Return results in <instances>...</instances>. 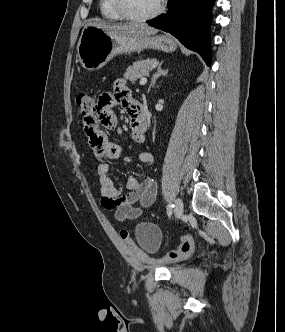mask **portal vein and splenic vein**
Returning a JSON list of instances; mask_svg holds the SVG:
<instances>
[{"instance_id":"obj_1","label":"portal vein and splenic vein","mask_w":285,"mask_h":332,"mask_svg":"<svg viewBox=\"0 0 285 332\" xmlns=\"http://www.w3.org/2000/svg\"><path fill=\"white\" fill-rule=\"evenodd\" d=\"M154 64H156V62ZM146 83H147V78L146 77L141 78L140 85H145Z\"/></svg>"}]
</instances>
